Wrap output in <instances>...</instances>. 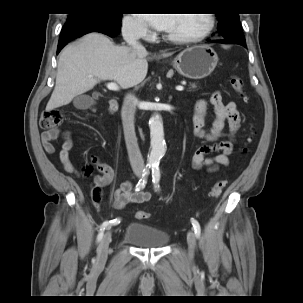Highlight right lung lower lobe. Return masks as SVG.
I'll use <instances>...</instances> for the list:
<instances>
[{
	"instance_id": "1",
	"label": "right lung lower lobe",
	"mask_w": 303,
	"mask_h": 303,
	"mask_svg": "<svg viewBox=\"0 0 303 303\" xmlns=\"http://www.w3.org/2000/svg\"><path fill=\"white\" fill-rule=\"evenodd\" d=\"M120 27V21L107 20L97 17L77 16L68 19L60 34L57 54L67 43L87 33L100 32L110 37H115L119 34Z\"/></svg>"
}]
</instances>
